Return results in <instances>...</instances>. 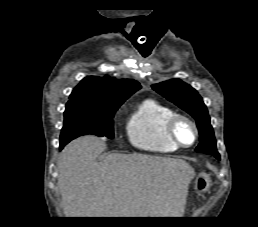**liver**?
I'll use <instances>...</instances> for the list:
<instances>
[{
	"label": "liver",
	"instance_id": "1",
	"mask_svg": "<svg viewBox=\"0 0 258 227\" xmlns=\"http://www.w3.org/2000/svg\"><path fill=\"white\" fill-rule=\"evenodd\" d=\"M95 136L70 142L58 161V188L66 217H181L195 177L186 161L144 154L97 157Z\"/></svg>",
	"mask_w": 258,
	"mask_h": 227
}]
</instances>
